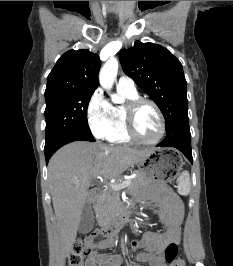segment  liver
I'll return each instance as SVG.
<instances>
[{"label": "liver", "instance_id": "6515ba94", "mask_svg": "<svg viewBox=\"0 0 233 266\" xmlns=\"http://www.w3.org/2000/svg\"><path fill=\"white\" fill-rule=\"evenodd\" d=\"M152 150L76 141L59 149L48 164V180L59 230L62 260L72 251L92 179L118 178Z\"/></svg>", "mask_w": 233, "mask_h": 266}]
</instances>
